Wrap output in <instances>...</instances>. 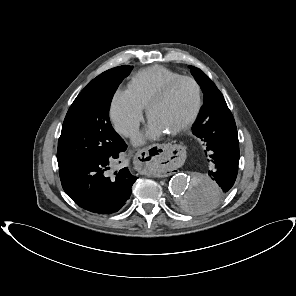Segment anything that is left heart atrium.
<instances>
[{
  "instance_id": "39dd6f15",
  "label": "left heart atrium",
  "mask_w": 296,
  "mask_h": 296,
  "mask_svg": "<svg viewBox=\"0 0 296 296\" xmlns=\"http://www.w3.org/2000/svg\"><path fill=\"white\" fill-rule=\"evenodd\" d=\"M163 133H165V132L159 126H157L155 123L150 121L146 133L139 135L136 138L135 142L137 144H141L145 140H147V139H155V138L161 136Z\"/></svg>"
}]
</instances>
